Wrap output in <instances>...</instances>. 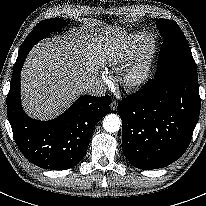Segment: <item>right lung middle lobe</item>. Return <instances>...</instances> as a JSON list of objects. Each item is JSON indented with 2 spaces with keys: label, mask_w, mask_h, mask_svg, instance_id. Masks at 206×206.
<instances>
[{
  "label": "right lung middle lobe",
  "mask_w": 206,
  "mask_h": 206,
  "mask_svg": "<svg viewBox=\"0 0 206 206\" xmlns=\"http://www.w3.org/2000/svg\"><path fill=\"white\" fill-rule=\"evenodd\" d=\"M66 21L57 18H51L47 20L41 21L37 24L31 33L27 36L26 40L22 44L20 51L24 50V48L32 46L37 43L39 40L43 39L52 31H60L61 28L65 26Z\"/></svg>",
  "instance_id": "right-lung-middle-lobe-1"
}]
</instances>
